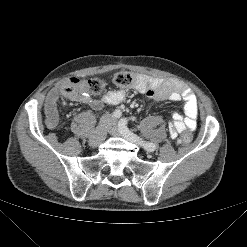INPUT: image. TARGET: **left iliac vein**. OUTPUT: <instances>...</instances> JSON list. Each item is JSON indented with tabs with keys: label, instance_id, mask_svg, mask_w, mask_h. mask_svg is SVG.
I'll return each instance as SVG.
<instances>
[{
	"label": "left iliac vein",
	"instance_id": "4c4485c4",
	"mask_svg": "<svg viewBox=\"0 0 247 247\" xmlns=\"http://www.w3.org/2000/svg\"><path fill=\"white\" fill-rule=\"evenodd\" d=\"M108 132L111 134V135H114V136H122L123 138H125L126 140L132 142V143H135L137 145H139L138 141L132 137H130L129 135L127 134H122L119 129L117 128L116 126V123L113 121L109 124L108 126Z\"/></svg>",
	"mask_w": 247,
	"mask_h": 247
}]
</instances>
